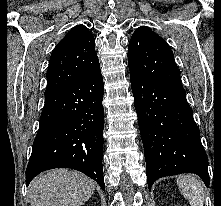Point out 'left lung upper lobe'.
<instances>
[{
  "label": "left lung upper lobe",
  "instance_id": "5c2ea615",
  "mask_svg": "<svg viewBox=\"0 0 221 206\" xmlns=\"http://www.w3.org/2000/svg\"><path fill=\"white\" fill-rule=\"evenodd\" d=\"M130 74L183 89L180 72L166 41L147 26L135 30L128 47Z\"/></svg>",
  "mask_w": 221,
  "mask_h": 206
}]
</instances>
